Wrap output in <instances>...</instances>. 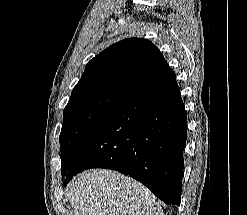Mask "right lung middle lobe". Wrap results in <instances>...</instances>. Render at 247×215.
Instances as JSON below:
<instances>
[{"instance_id": "right-lung-middle-lobe-1", "label": "right lung middle lobe", "mask_w": 247, "mask_h": 215, "mask_svg": "<svg viewBox=\"0 0 247 215\" xmlns=\"http://www.w3.org/2000/svg\"><path fill=\"white\" fill-rule=\"evenodd\" d=\"M128 88L89 89L72 92L64 109L59 137L61 174L69 169L72 152L84 133L116 109L130 94Z\"/></svg>"}]
</instances>
